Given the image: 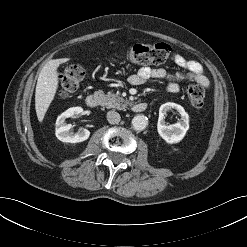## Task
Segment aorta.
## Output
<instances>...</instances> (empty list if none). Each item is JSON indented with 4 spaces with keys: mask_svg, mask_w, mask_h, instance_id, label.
I'll use <instances>...</instances> for the list:
<instances>
[{
    "mask_svg": "<svg viewBox=\"0 0 247 247\" xmlns=\"http://www.w3.org/2000/svg\"><path fill=\"white\" fill-rule=\"evenodd\" d=\"M132 128L137 131L144 130L148 125V119L144 115H136L131 121Z\"/></svg>",
    "mask_w": 247,
    "mask_h": 247,
    "instance_id": "762f6f07",
    "label": "aorta"
}]
</instances>
